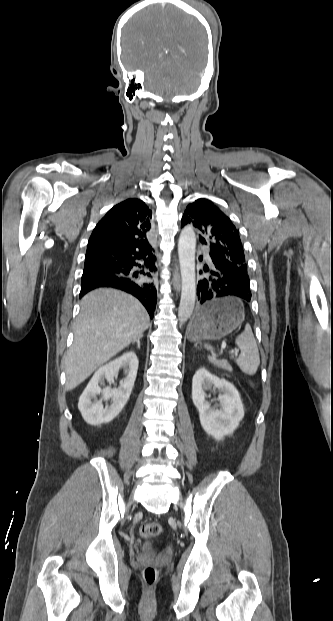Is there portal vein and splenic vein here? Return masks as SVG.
I'll list each match as a JSON object with an SVG mask.
<instances>
[{
  "mask_svg": "<svg viewBox=\"0 0 333 621\" xmlns=\"http://www.w3.org/2000/svg\"><path fill=\"white\" fill-rule=\"evenodd\" d=\"M225 348H226V343H225V342H223V343H222V346H221V349H222V350H224ZM230 353H233V354H235V355H238V350H231V351H230Z\"/></svg>",
  "mask_w": 333,
  "mask_h": 621,
  "instance_id": "obj_1",
  "label": "portal vein and splenic vein"
}]
</instances>
